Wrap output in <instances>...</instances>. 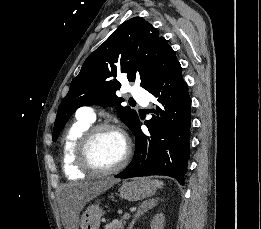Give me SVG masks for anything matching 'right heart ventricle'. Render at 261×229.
Wrapping results in <instances>:
<instances>
[{"label": "right heart ventricle", "instance_id": "obj_1", "mask_svg": "<svg viewBox=\"0 0 261 229\" xmlns=\"http://www.w3.org/2000/svg\"><path fill=\"white\" fill-rule=\"evenodd\" d=\"M93 125V121L82 115L81 109L76 113L74 122L66 130L60 147L61 162L66 173L84 174L77 162V145L83 134Z\"/></svg>", "mask_w": 261, "mask_h": 229}]
</instances>
